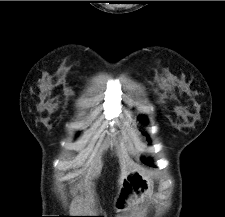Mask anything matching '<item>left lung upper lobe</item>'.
I'll return each instance as SVG.
<instances>
[{
	"instance_id": "left-lung-upper-lobe-1",
	"label": "left lung upper lobe",
	"mask_w": 225,
	"mask_h": 217,
	"mask_svg": "<svg viewBox=\"0 0 225 217\" xmlns=\"http://www.w3.org/2000/svg\"><path fill=\"white\" fill-rule=\"evenodd\" d=\"M140 119H142L143 122H146V119H144V117H140Z\"/></svg>"
}]
</instances>
